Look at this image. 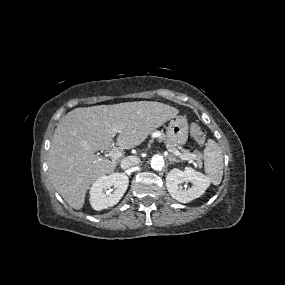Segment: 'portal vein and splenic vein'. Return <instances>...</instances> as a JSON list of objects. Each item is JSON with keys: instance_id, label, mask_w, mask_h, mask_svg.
Returning a JSON list of instances; mask_svg holds the SVG:
<instances>
[{"instance_id": "portal-vein-and-splenic-vein-1", "label": "portal vein and splenic vein", "mask_w": 285, "mask_h": 285, "mask_svg": "<svg viewBox=\"0 0 285 285\" xmlns=\"http://www.w3.org/2000/svg\"><path fill=\"white\" fill-rule=\"evenodd\" d=\"M119 132H120V130L118 128H116V127H113V128L110 129V133L112 135H116ZM173 154L175 156H178L182 160L196 159V155L195 154H182L178 150H174ZM107 155L110 158L119 159V158H121L123 156V153H122V151L119 150V148L114 147L112 150L109 151V153Z\"/></svg>"}]
</instances>
